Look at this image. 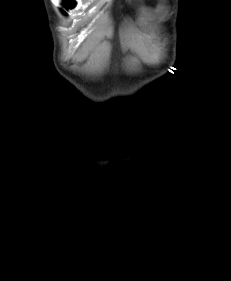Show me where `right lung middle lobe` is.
<instances>
[{"label":"right lung middle lobe","instance_id":"obj_1","mask_svg":"<svg viewBox=\"0 0 231 281\" xmlns=\"http://www.w3.org/2000/svg\"><path fill=\"white\" fill-rule=\"evenodd\" d=\"M64 5L70 7L72 5V0H65Z\"/></svg>","mask_w":231,"mask_h":281}]
</instances>
